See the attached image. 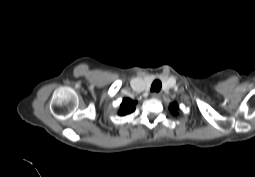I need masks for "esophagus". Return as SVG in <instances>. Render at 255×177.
Masks as SVG:
<instances>
[{"label":"esophagus","mask_w":255,"mask_h":177,"mask_svg":"<svg viewBox=\"0 0 255 177\" xmlns=\"http://www.w3.org/2000/svg\"><path fill=\"white\" fill-rule=\"evenodd\" d=\"M160 96H161V93H158V92L152 93V98L157 99V98H159Z\"/></svg>","instance_id":"1"}]
</instances>
